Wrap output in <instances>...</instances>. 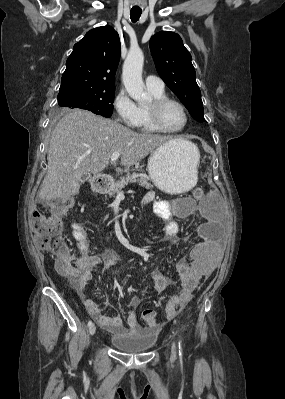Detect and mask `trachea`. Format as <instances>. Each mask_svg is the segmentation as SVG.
Returning a JSON list of instances; mask_svg holds the SVG:
<instances>
[{
	"mask_svg": "<svg viewBox=\"0 0 285 399\" xmlns=\"http://www.w3.org/2000/svg\"><path fill=\"white\" fill-rule=\"evenodd\" d=\"M142 10L140 9H131L130 18L132 22H137L141 16Z\"/></svg>",
	"mask_w": 285,
	"mask_h": 399,
	"instance_id": "trachea-1",
	"label": "trachea"
}]
</instances>
